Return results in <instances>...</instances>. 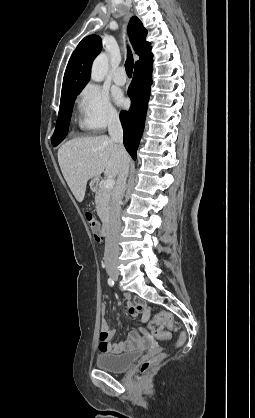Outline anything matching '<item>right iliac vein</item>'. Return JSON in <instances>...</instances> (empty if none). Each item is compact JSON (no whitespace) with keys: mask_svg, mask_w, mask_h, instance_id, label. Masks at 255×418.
Returning <instances> with one entry per match:
<instances>
[{"mask_svg":"<svg viewBox=\"0 0 255 418\" xmlns=\"http://www.w3.org/2000/svg\"><path fill=\"white\" fill-rule=\"evenodd\" d=\"M107 272L112 279H114V280L118 279L119 273H118V270L115 267H112V266L108 267Z\"/></svg>","mask_w":255,"mask_h":418,"instance_id":"63e3f726","label":"right iliac vein"}]
</instances>
